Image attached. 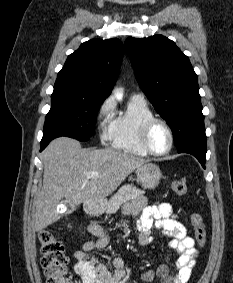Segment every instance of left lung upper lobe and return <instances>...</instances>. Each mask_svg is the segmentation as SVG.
Instances as JSON below:
<instances>
[{
    "instance_id": "1",
    "label": "left lung upper lobe",
    "mask_w": 233,
    "mask_h": 283,
    "mask_svg": "<svg viewBox=\"0 0 233 283\" xmlns=\"http://www.w3.org/2000/svg\"><path fill=\"white\" fill-rule=\"evenodd\" d=\"M125 48L142 91L171 127L175 146L206 144L197 75L188 57L162 35L129 37Z\"/></svg>"
}]
</instances>
